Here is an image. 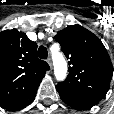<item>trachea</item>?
I'll list each match as a JSON object with an SVG mask.
<instances>
[{
    "instance_id": "3493384b",
    "label": "trachea",
    "mask_w": 114,
    "mask_h": 114,
    "mask_svg": "<svg viewBox=\"0 0 114 114\" xmlns=\"http://www.w3.org/2000/svg\"><path fill=\"white\" fill-rule=\"evenodd\" d=\"M38 56H39L41 59H46L47 56H48L47 48L44 47V46L39 47V49H38Z\"/></svg>"
}]
</instances>
